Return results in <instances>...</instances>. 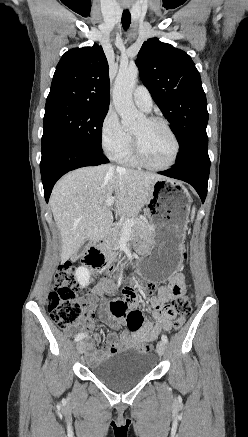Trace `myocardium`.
<instances>
[{
    "label": "myocardium",
    "instance_id": "1",
    "mask_svg": "<svg viewBox=\"0 0 248 437\" xmlns=\"http://www.w3.org/2000/svg\"><path fill=\"white\" fill-rule=\"evenodd\" d=\"M145 119L150 124H161L162 126L165 127V129L168 131V133L170 134V136L174 142V152H173L171 160L168 163H166L164 165H153L146 160V158L144 157V155L140 149L137 138L134 135H132V148H133V154H134L135 158L142 166H144L145 168L151 169V170H166V169L171 168L176 163L177 158L179 156V152H180V143H179V140H178L175 132L173 131V129L171 128L169 123L163 118L151 116V117H147Z\"/></svg>",
    "mask_w": 248,
    "mask_h": 437
}]
</instances>
